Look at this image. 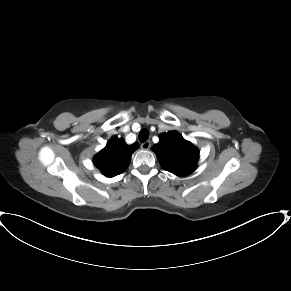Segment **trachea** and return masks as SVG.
Masks as SVG:
<instances>
[{"mask_svg": "<svg viewBox=\"0 0 291 291\" xmlns=\"http://www.w3.org/2000/svg\"><path fill=\"white\" fill-rule=\"evenodd\" d=\"M141 142H146L149 138V131L147 129H142L138 135Z\"/></svg>", "mask_w": 291, "mask_h": 291, "instance_id": "1", "label": "trachea"}]
</instances>
